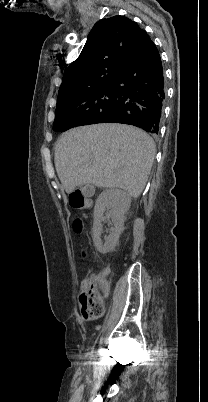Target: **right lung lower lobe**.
Wrapping results in <instances>:
<instances>
[{"instance_id": "right-lung-lower-lobe-1", "label": "right lung lower lobe", "mask_w": 208, "mask_h": 402, "mask_svg": "<svg viewBox=\"0 0 208 402\" xmlns=\"http://www.w3.org/2000/svg\"><path fill=\"white\" fill-rule=\"evenodd\" d=\"M113 84L117 88L116 105L108 112H101L83 121H61L56 131L104 123L134 125L153 134H158L165 101L163 67L159 52L147 35Z\"/></svg>"}]
</instances>
